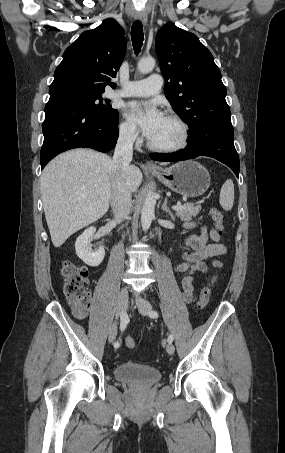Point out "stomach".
<instances>
[{"label": "stomach", "mask_w": 285, "mask_h": 453, "mask_svg": "<svg viewBox=\"0 0 285 453\" xmlns=\"http://www.w3.org/2000/svg\"><path fill=\"white\" fill-rule=\"evenodd\" d=\"M170 190L184 197L203 195L210 186V175L200 163L192 160L176 163L169 168L151 170Z\"/></svg>", "instance_id": "1"}]
</instances>
